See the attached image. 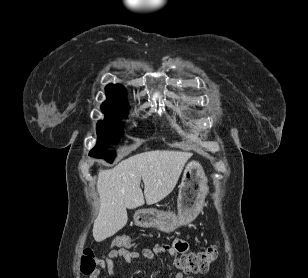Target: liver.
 I'll use <instances>...</instances> for the list:
<instances>
[{"label":"liver","mask_w":308,"mask_h":278,"mask_svg":"<svg viewBox=\"0 0 308 278\" xmlns=\"http://www.w3.org/2000/svg\"><path fill=\"white\" fill-rule=\"evenodd\" d=\"M191 156L188 152L153 150L131 156L113 169H100L97 180L100 208L93 225L95 241L113 236L126 225L127 208L140 207L145 200L152 205L167 197Z\"/></svg>","instance_id":"liver-1"}]
</instances>
